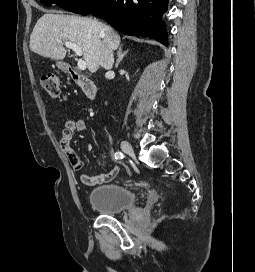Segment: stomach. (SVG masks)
I'll list each match as a JSON object with an SVG mask.
<instances>
[{
	"instance_id": "0dacf381",
	"label": "stomach",
	"mask_w": 255,
	"mask_h": 272,
	"mask_svg": "<svg viewBox=\"0 0 255 272\" xmlns=\"http://www.w3.org/2000/svg\"><path fill=\"white\" fill-rule=\"evenodd\" d=\"M57 65L59 68H62V69L64 68V65L62 63H58Z\"/></svg>"
}]
</instances>
